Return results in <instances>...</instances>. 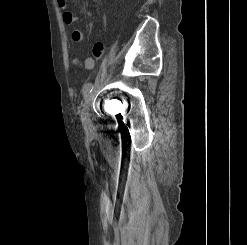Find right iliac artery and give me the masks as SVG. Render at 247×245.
<instances>
[{"mask_svg": "<svg viewBox=\"0 0 247 245\" xmlns=\"http://www.w3.org/2000/svg\"><path fill=\"white\" fill-rule=\"evenodd\" d=\"M92 90H93L92 83L85 84L82 89L83 96L86 97Z\"/></svg>", "mask_w": 247, "mask_h": 245, "instance_id": "82829eb1", "label": "right iliac artery"}]
</instances>
